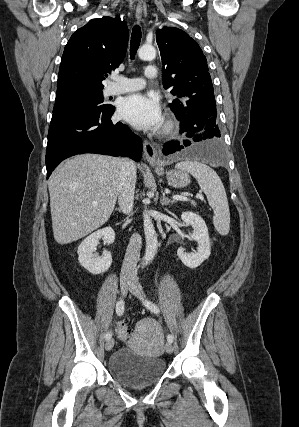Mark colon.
Returning <instances> with one entry per match:
<instances>
[{"instance_id": "5ec220e1", "label": "colon", "mask_w": 299, "mask_h": 427, "mask_svg": "<svg viewBox=\"0 0 299 427\" xmlns=\"http://www.w3.org/2000/svg\"><path fill=\"white\" fill-rule=\"evenodd\" d=\"M118 334L122 335L124 338H129L130 331L126 326L125 321H121L120 325L117 327Z\"/></svg>"}]
</instances>
